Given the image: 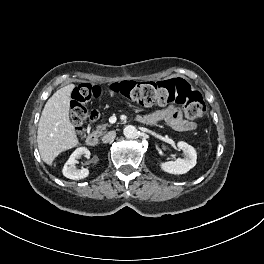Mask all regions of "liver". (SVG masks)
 I'll return each mask as SVG.
<instances>
[{
  "instance_id": "obj_1",
  "label": "liver",
  "mask_w": 264,
  "mask_h": 264,
  "mask_svg": "<svg viewBox=\"0 0 264 264\" xmlns=\"http://www.w3.org/2000/svg\"><path fill=\"white\" fill-rule=\"evenodd\" d=\"M74 84L57 90L46 102L38 123L37 143L42 160L52 165L63 151L75 147L79 140L69 119L70 95Z\"/></svg>"
}]
</instances>
